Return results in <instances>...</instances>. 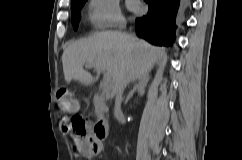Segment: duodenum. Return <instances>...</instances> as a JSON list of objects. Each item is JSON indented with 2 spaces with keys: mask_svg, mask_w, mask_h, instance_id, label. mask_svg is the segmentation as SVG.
<instances>
[{
  "mask_svg": "<svg viewBox=\"0 0 242 160\" xmlns=\"http://www.w3.org/2000/svg\"><path fill=\"white\" fill-rule=\"evenodd\" d=\"M93 102L97 113V117L92 126H90V129L93 138L97 142H102L106 140L109 135V124L106 118L104 117L106 106L102 97L98 93L94 94Z\"/></svg>",
  "mask_w": 242,
  "mask_h": 160,
  "instance_id": "obj_1",
  "label": "duodenum"
}]
</instances>
